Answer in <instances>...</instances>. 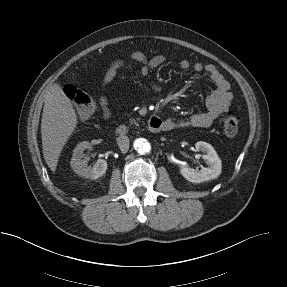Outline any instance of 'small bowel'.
Returning a JSON list of instances; mask_svg holds the SVG:
<instances>
[{
    "instance_id": "1",
    "label": "small bowel",
    "mask_w": 287,
    "mask_h": 287,
    "mask_svg": "<svg viewBox=\"0 0 287 287\" xmlns=\"http://www.w3.org/2000/svg\"><path fill=\"white\" fill-rule=\"evenodd\" d=\"M166 58L162 54L148 57L141 51L132 52L128 58L115 59L108 64L101 74V86L105 88L118 74L125 68L129 62L139 64V72L142 76H148L154 69L158 68L165 62ZM183 71H192L194 73H205L215 84V90L206 99V109L196 112L187 118L174 119L167 118L162 120L163 130L185 129L190 127L205 128L227 111L233 100V94L230 91V83L212 64L204 65L200 62L191 63L188 60H182L179 63ZM154 91H159L160 87L153 84ZM100 106L105 119L110 118L111 112L108 106L107 97L102 94L100 97Z\"/></svg>"
}]
</instances>
